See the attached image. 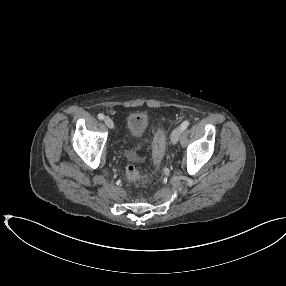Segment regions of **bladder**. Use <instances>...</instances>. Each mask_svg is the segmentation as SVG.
<instances>
[{"mask_svg":"<svg viewBox=\"0 0 286 286\" xmlns=\"http://www.w3.org/2000/svg\"><path fill=\"white\" fill-rule=\"evenodd\" d=\"M148 126V119L144 114L129 115L126 120V129L131 137L142 136Z\"/></svg>","mask_w":286,"mask_h":286,"instance_id":"1","label":"bladder"}]
</instances>
